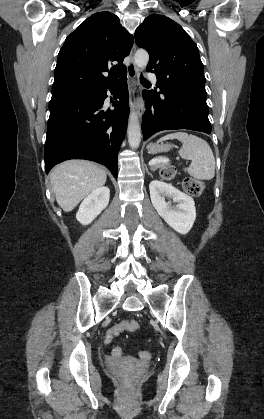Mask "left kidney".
<instances>
[{"mask_svg":"<svg viewBox=\"0 0 264 419\" xmlns=\"http://www.w3.org/2000/svg\"><path fill=\"white\" fill-rule=\"evenodd\" d=\"M151 202L164 221L180 234H187L196 219L194 200L171 184L153 180L149 185ZM165 197L172 198L178 203L172 206Z\"/></svg>","mask_w":264,"mask_h":419,"instance_id":"left-kidney-1","label":"left kidney"}]
</instances>
